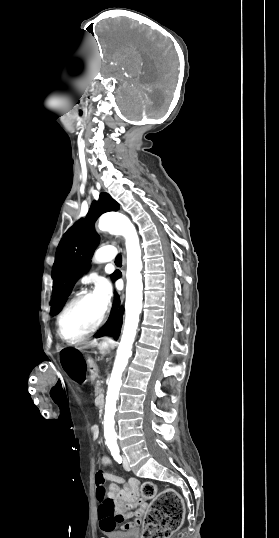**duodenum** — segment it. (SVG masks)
I'll list each match as a JSON object with an SVG mask.
<instances>
[{
    "label": "duodenum",
    "mask_w": 279,
    "mask_h": 538,
    "mask_svg": "<svg viewBox=\"0 0 279 538\" xmlns=\"http://www.w3.org/2000/svg\"><path fill=\"white\" fill-rule=\"evenodd\" d=\"M98 370V365H91V369H90V372L92 373V377L90 378V381L92 383H95L97 381V377L99 376V373L97 372ZM96 406L100 407V409H103V406L104 405V402H102L104 400V397L102 395H98L96 397Z\"/></svg>",
    "instance_id": "duodenum-1"
}]
</instances>
